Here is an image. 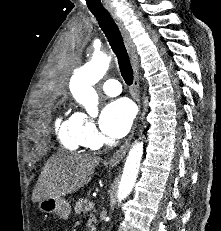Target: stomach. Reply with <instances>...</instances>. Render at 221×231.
Wrapping results in <instances>:
<instances>
[{
	"label": "stomach",
	"mask_w": 221,
	"mask_h": 231,
	"mask_svg": "<svg viewBox=\"0 0 221 231\" xmlns=\"http://www.w3.org/2000/svg\"><path fill=\"white\" fill-rule=\"evenodd\" d=\"M37 208L44 213L56 214L62 219H68L71 214L70 203L62 197H49L41 200Z\"/></svg>",
	"instance_id": "0dacf381"
}]
</instances>
